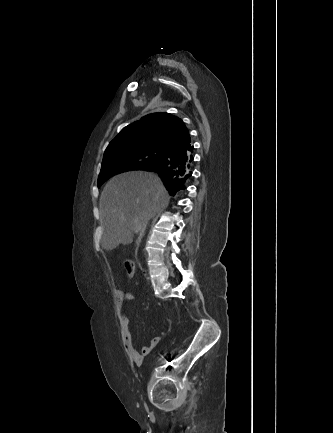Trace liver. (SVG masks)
Masks as SVG:
<instances>
[{
  "mask_svg": "<svg viewBox=\"0 0 333 433\" xmlns=\"http://www.w3.org/2000/svg\"><path fill=\"white\" fill-rule=\"evenodd\" d=\"M169 199L162 181L153 173L131 171L113 177L100 197L102 248L111 251L120 244H131L136 232L134 220H139L142 229Z\"/></svg>",
  "mask_w": 333,
  "mask_h": 433,
  "instance_id": "6515ba94",
  "label": "liver"
}]
</instances>
